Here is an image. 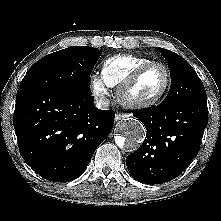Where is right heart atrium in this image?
Wrapping results in <instances>:
<instances>
[{"mask_svg":"<svg viewBox=\"0 0 221 221\" xmlns=\"http://www.w3.org/2000/svg\"><path fill=\"white\" fill-rule=\"evenodd\" d=\"M90 84L94 97L99 101L105 100L108 94V89L103 78L101 76L94 74L91 76Z\"/></svg>","mask_w":221,"mask_h":221,"instance_id":"obj_1","label":"right heart atrium"}]
</instances>
